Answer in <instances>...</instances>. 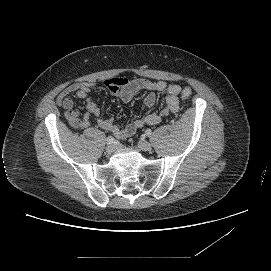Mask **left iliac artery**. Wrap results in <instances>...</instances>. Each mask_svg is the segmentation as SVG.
<instances>
[{
  "mask_svg": "<svg viewBox=\"0 0 271 271\" xmlns=\"http://www.w3.org/2000/svg\"><path fill=\"white\" fill-rule=\"evenodd\" d=\"M145 135L148 136V137L151 136L152 135V131L150 129H147L145 131Z\"/></svg>",
  "mask_w": 271,
  "mask_h": 271,
  "instance_id": "obj_1",
  "label": "left iliac artery"
}]
</instances>
